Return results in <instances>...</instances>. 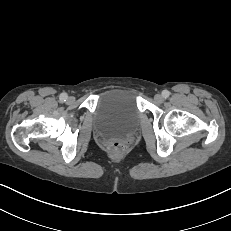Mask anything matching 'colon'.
<instances>
[{
  "label": "colon",
  "instance_id": "5ec220e1",
  "mask_svg": "<svg viewBox=\"0 0 231 231\" xmlns=\"http://www.w3.org/2000/svg\"><path fill=\"white\" fill-rule=\"evenodd\" d=\"M126 143L123 141L115 140L109 144V150L113 154H121L126 150Z\"/></svg>",
  "mask_w": 231,
  "mask_h": 231
}]
</instances>
